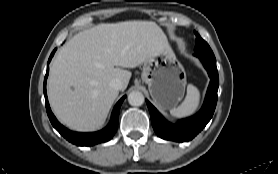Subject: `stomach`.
<instances>
[{
	"instance_id": "obj_1",
	"label": "stomach",
	"mask_w": 278,
	"mask_h": 174,
	"mask_svg": "<svg viewBox=\"0 0 278 174\" xmlns=\"http://www.w3.org/2000/svg\"><path fill=\"white\" fill-rule=\"evenodd\" d=\"M141 79L148 85L155 103L164 109L175 107L185 92L186 73L172 50L148 58Z\"/></svg>"
}]
</instances>
